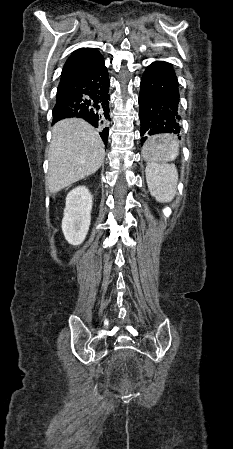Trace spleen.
Returning <instances> with one entry per match:
<instances>
[{"instance_id": "spleen-1", "label": "spleen", "mask_w": 233, "mask_h": 449, "mask_svg": "<svg viewBox=\"0 0 233 449\" xmlns=\"http://www.w3.org/2000/svg\"><path fill=\"white\" fill-rule=\"evenodd\" d=\"M170 142L172 144L171 151L164 152L169 159L178 152L176 140L171 139ZM169 159L151 161L146 167L148 188L158 202H170L176 194L178 173L173 165L167 163Z\"/></svg>"}]
</instances>
